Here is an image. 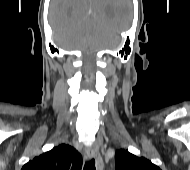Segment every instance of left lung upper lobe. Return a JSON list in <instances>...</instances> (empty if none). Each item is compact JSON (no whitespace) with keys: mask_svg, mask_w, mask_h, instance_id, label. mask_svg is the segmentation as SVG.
Masks as SVG:
<instances>
[{"mask_svg":"<svg viewBox=\"0 0 190 170\" xmlns=\"http://www.w3.org/2000/svg\"><path fill=\"white\" fill-rule=\"evenodd\" d=\"M116 170H160L150 160L137 157L127 150H118L115 154Z\"/></svg>","mask_w":190,"mask_h":170,"instance_id":"left-lung-upper-lobe-1","label":"left lung upper lobe"}]
</instances>
